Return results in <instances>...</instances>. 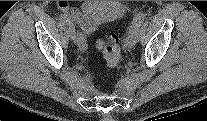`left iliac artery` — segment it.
Instances as JSON below:
<instances>
[{"mask_svg": "<svg viewBox=\"0 0 207 121\" xmlns=\"http://www.w3.org/2000/svg\"><path fill=\"white\" fill-rule=\"evenodd\" d=\"M146 18L145 13H139L133 20L131 26H130V31L129 34H132L134 31L139 30L140 26L142 25V23L144 22Z\"/></svg>", "mask_w": 207, "mask_h": 121, "instance_id": "left-iliac-artery-1", "label": "left iliac artery"}]
</instances>
